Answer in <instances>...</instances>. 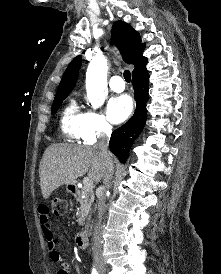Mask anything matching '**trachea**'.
Returning <instances> with one entry per match:
<instances>
[{
    "instance_id": "trachea-1",
    "label": "trachea",
    "mask_w": 221,
    "mask_h": 274,
    "mask_svg": "<svg viewBox=\"0 0 221 274\" xmlns=\"http://www.w3.org/2000/svg\"><path fill=\"white\" fill-rule=\"evenodd\" d=\"M124 79L126 80V82L130 83L131 80V74L129 70H125L124 71Z\"/></svg>"
}]
</instances>
